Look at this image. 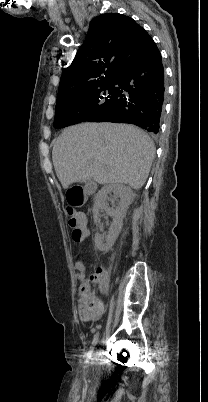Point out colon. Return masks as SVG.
Masks as SVG:
<instances>
[{"label":"colon","mask_w":208,"mask_h":402,"mask_svg":"<svg viewBox=\"0 0 208 402\" xmlns=\"http://www.w3.org/2000/svg\"><path fill=\"white\" fill-rule=\"evenodd\" d=\"M67 214L68 225L71 228L70 237L75 242L82 241L87 235L86 230H84L82 214L70 207L67 209ZM97 285V277H84L83 282L79 283V292L77 293V300L79 301L78 310L79 314H82L83 317H86L88 314L103 313L102 299H95Z\"/></svg>","instance_id":"obj_1"}]
</instances>
